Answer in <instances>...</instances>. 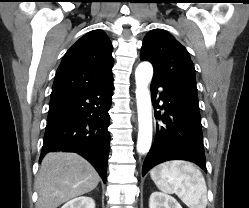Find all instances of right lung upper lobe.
Segmentation results:
<instances>
[{
  "mask_svg": "<svg viewBox=\"0 0 249 208\" xmlns=\"http://www.w3.org/2000/svg\"><path fill=\"white\" fill-rule=\"evenodd\" d=\"M112 44L102 30L81 37L57 69L51 98L95 88L112 79Z\"/></svg>",
  "mask_w": 249,
  "mask_h": 208,
  "instance_id": "1",
  "label": "right lung upper lobe"
}]
</instances>
